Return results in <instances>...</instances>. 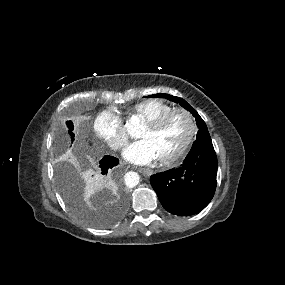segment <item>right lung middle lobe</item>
<instances>
[{"instance_id":"1","label":"right lung middle lobe","mask_w":285,"mask_h":285,"mask_svg":"<svg viewBox=\"0 0 285 285\" xmlns=\"http://www.w3.org/2000/svg\"><path fill=\"white\" fill-rule=\"evenodd\" d=\"M68 128V133L71 136V140H74V133L72 132L74 129L73 123L71 121H67L66 123ZM68 143L64 141V136L60 133L56 137V150L60 151L65 147L68 148ZM99 174V171L97 169ZM83 174L79 172V164L78 160L75 157L73 149L71 151H67L65 161H60L57 163V182L59 185L60 192L69 206V208L80 218L84 219L91 225L96 227H107L111 224L110 221L97 219L91 217L84 208L82 203L81 196V177Z\"/></svg>"}]
</instances>
